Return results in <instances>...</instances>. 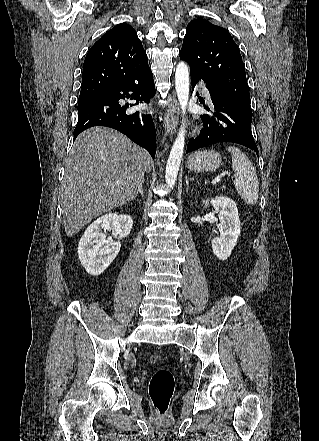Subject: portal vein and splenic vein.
<instances>
[{
    "label": "portal vein and splenic vein",
    "instance_id": "1",
    "mask_svg": "<svg viewBox=\"0 0 319 441\" xmlns=\"http://www.w3.org/2000/svg\"><path fill=\"white\" fill-rule=\"evenodd\" d=\"M225 175H229L230 176V173H228V172H223V173H221L220 175H218L215 179H213L212 180V184H216L217 182H219L220 181V179L223 177V176H225ZM122 182V180H117V183H121Z\"/></svg>",
    "mask_w": 319,
    "mask_h": 441
}]
</instances>
